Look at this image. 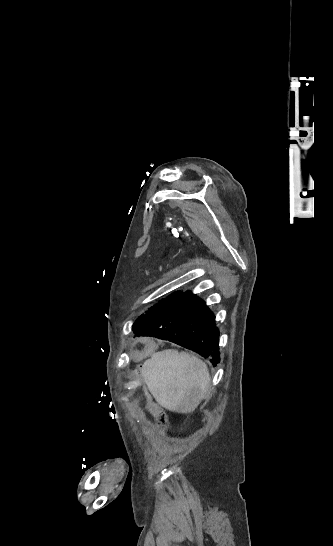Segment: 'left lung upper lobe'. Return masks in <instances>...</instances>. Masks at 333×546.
I'll list each match as a JSON object with an SVG mask.
<instances>
[{"mask_svg": "<svg viewBox=\"0 0 333 546\" xmlns=\"http://www.w3.org/2000/svg\"><path fill=\"white\" fill-rule=\"evenodd\" d=\"M182 292H175L168 296L166 299L159 301V303L151 308H149L145 314L141 315L135 322V325L140 328L150 317H152L162 306L172 302L177 299Z\"/></svg>", "mask_w": 333, "mask_h": 546, "instance_id": "left-lung-upper-lobe-1", "label": "left lung upper lobe"}]
</instances>
